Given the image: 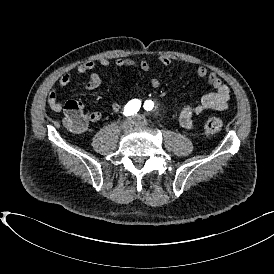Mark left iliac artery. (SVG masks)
Here are the masks:
<instances>
[{
	"mask_svg": "<svg viewBox=\"0 0 274 274\" xmlns=\"http://www.w3.org/2000/svg\"><path fill=\"white\" fill-rule=\"evenodd\" d=\"M154 108V103L151 100H147L144 103V109L147 111H151Z\"/></svg>",
	"mask_w": 274,
	"mask_h": 274,
	"instance_id": "44dca946",
	"label": "left iliac artery"
}]
</instances>
